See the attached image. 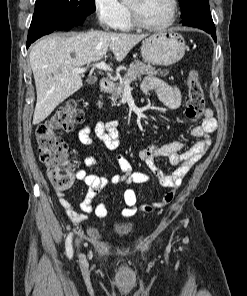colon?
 I'll list each match as a JSON object with an SVG mask.
<instances>
[{
	"label": "colon",
	"instance_id": "obj_1",
	"mask_svg": "<svg viewBox=\"0 0 247 296\" xmlns=\"http://www.w3.org/2000/svg\"><path fill=\"white\" fill-rule=\"evenodd\" d=\"M188 101L185 114L190 119L202 115L205 97L196 70H191L187 79ZM83 111L74 100L58 107L46 121L36 128V141L40 161L47 168V176L57 190H65L74 182L73 165L69 160L70 150L59 135L70 131L83 120Z\"/></svg>",
	"mask_w": 247,
	"mask_h": 296
}]
</instances>
